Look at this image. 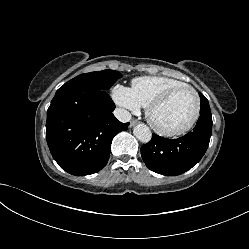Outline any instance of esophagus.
Masks as SVG:
<instances>
[{
	"label": "esophagus",
	"instance_id": "34e87169",
	"mask_svg": "<svg viewBox=\"0 0 249 249\" xmlns=\"http://www.w3.org/2000/svg\"><path fill=\"white\" fill-rule=\"evenodd\" d=\"M137 124V120L136 119H133L131 122H130V127H133L134 125Z\"/></svg>",
	"mask_w": 249,
	"mask_h": 249
}]
</instances>
